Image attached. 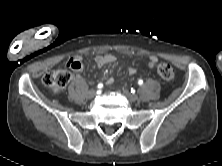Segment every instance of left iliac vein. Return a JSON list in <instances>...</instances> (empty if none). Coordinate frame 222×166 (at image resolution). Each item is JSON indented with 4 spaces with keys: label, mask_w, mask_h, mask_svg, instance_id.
<instances>
[{
    "label": "left iliac vein",
    "mask_w": 222,
    "mask_h": 166,
    "mask_svg": "<svg viewBox=\"0 0 222 166\" xmlns=\"http://www.w3.org/2000/svg\"><path fill=\"white\" fill-rule=\"evenodd\" d=\"M123 94L127 97V99L131 102H135L138 100V96L131 93L130 91L128 90H123Z\"/></svg>",
    "instance_id": "left-iliac-vein-1"
}]
</instances>
